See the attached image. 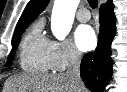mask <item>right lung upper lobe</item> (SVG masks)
I'll list each match as a JSON object with an SVG mask.
<instances>
[{"label": "right lung upper lobe", "mask_w": 127, "mask_h": 92, "mask_svg": "<svg viewBox=\"0 0 127 92\" xmlns=\"http://www.w3.org/2000/svg\"><path fill=\"white\" fill-rule=\"evenodd\" d=\"M48 2L49 0H30L17 23L15 32L24 27H28L40 12L43 11ZM108 2H112V0H108Z\"/></svg>", "instance_id": "cb5924a9"}]
</instances>
